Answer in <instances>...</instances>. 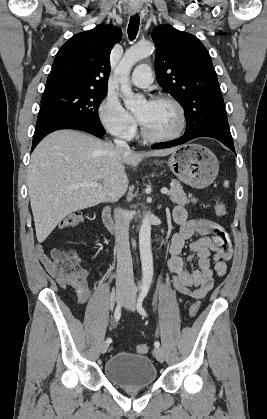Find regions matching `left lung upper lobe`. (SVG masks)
Listing matches in <instances>:
<instances>
[{"mask_svg":"<svg viewBox=\"0 0 267 419\" xmlns=\"http://www.w3.org/2000/svg\"><path fill=\"white\" fill-rule=\"evenodd\" d=\"M152 38L157 82L181 104L187 126L211 112L226 117L216 72L202 42L169 25L155 27Z\"/></svg>","mask_w":267,"mask_h":419,"instance_id":"obj_1","label":"left lung upper lobe"}]
</instances>
